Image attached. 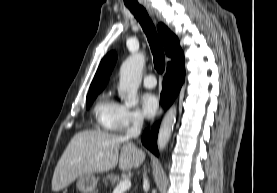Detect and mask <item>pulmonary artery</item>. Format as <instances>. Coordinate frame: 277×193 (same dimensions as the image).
I'll list each match as a JSON object with an SVG mask.
<instances>
[{"mask_svg":"<svg viewBox=\"0 0 277 193\" xmlns=\"http://www.w3.org/2000/svg\"><path fill=\"white\" fill-rule=\"evenodd\" d=\"M143 84L146 88H154L156 86V78L152 74L145 75L143 78Z\"/></svg>","mask_w":277,"mask_h":193,"instance_id":"1","label":"pulmonary artery"}]
</instances>
